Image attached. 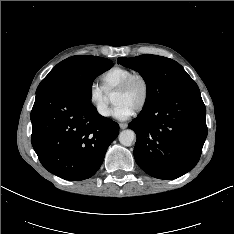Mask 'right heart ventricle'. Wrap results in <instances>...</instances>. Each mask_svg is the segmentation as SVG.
I'll return each mask as SVG.
<instances>
[{
  "label": "right heart ventricle",
  "mask_w": 234,
  "mask_h": 234,
  "mask_svg": "<svg viewBox=\"0 0 234 234\" xmlns=\"http://www.w3.org/2000/svg\"><path fill=\"white\" fill-rule=\"evenodd\" d=\"M134 74V72L128 68L114 66L106 70L101 76L100 81L102 89L106 93L114 91L125 79Z\"/></svg>",
  "instance_id": "obj_1"
}]
</instances>
